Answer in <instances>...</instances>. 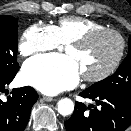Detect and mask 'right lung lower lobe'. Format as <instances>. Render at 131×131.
I'll use <instances>...</instances> for the list:
<instances>
[{
  "label": "right lung lower lobe",
  "mask_w": 131,
  "mask_h": 131,
  "mask_svg": "<svg viewBox=\"0 0 131 131\" xmlns=\"http://www.w3.org/2000/svg\"><path fill=\"white\" fill-rule=\"evenodd\" d=\"M15 75L0 79V92L5 91ZM11 94L7 101L0 100V131H24L38 94L29 86L13 89Z\"/></svg>",
  "instance_id": "obj_1"
}]
</instances>
